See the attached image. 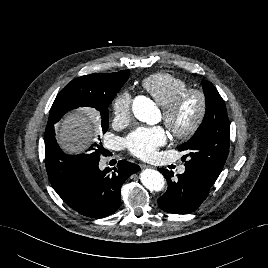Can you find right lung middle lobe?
<instances>
[{"instance_id": "dd1d6c3e", "label": "right lung middle lobe", "mask_w": 268, "mask_h": 268, "mask_svg": "<svg viewBox=\"0 0 268 268\" xmlns=\"http://www.w3.org/2000/svg\"><path fill=\"white\" fill-rule=\"evenodd\" d=\"M108 105L94 107L101 113L102 131L105 133L108 129ZM63 108L62 101L55 100L50 115H53ZM97 144H92L87 152L78 155L65 154L55 139V132L45 137V160L49 180L58 193L64 194L70 186L77 180L79 175L95 160L100 158L99 151L95 150Z\"/></svg>"}]
</instances>
